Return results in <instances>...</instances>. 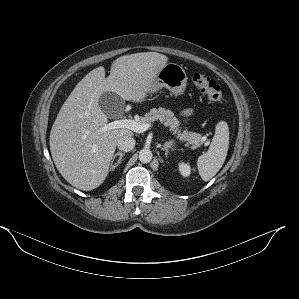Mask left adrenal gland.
Instances as JSON below:
<instances>
[{
  "mask_svg": "<svg viewBox=\"0 0 299 299\" xmlns=\"http://www.w3.org/2000/svg\"><path fill=\"white\" fill-rule=\"evenodd\" d=\"M169 149L173 150V142L169 141V142H165L164 145L161 147V150L165 151V155L167 157Z\"/></svg>",
  "mask_w": 299,
  "mask_h": 299,
  "instance_id": "obj_1",
  "label": "left adrenal gland"
}]
</instances>
